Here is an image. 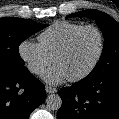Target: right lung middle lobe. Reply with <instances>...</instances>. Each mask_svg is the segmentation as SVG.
Returning a JSON list of instances; mask_svg holds the SVG:
<instances>
[{"instance_id":"right-lung-middle-lobe-1","label":"right lung middle lobe","mask_w":119,"mask_h":119,"mask_svg":"<svg viewBox=\"0 0 119 119\" xmlns=\"http://www.w3.org/2000/svg\"><path fill=\"white\" fill-rule=\"evenodd\" d=\"M46 25L30 19L5 17L0 19V68H20L24 61L19 55V45L30 35Z\"/></svg>"}]
</instances>
